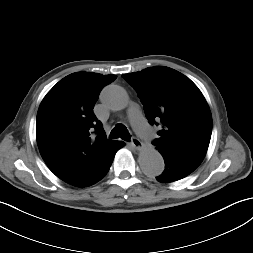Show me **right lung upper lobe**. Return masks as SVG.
<instances>
[{
    "label": "right lung upper lobe",
    "mask_w": 253,
    "mask_h": 253,
    "mask_svg": "<svg viewBox=\"0 0 253 253\" xmlns=\"http://www.w3.org/2000/svg\"><path fill=\"white\" fill-rule=\"evenodd\" d=\"M117 76L76 72L60 80L44 97L37 113L40 153L61 180L87 187L105 175L108 140L93 113L102 88ZM95 133V136L92 135Z\"/></svg>",
    "instance_id": "obj_1"
}]
</instances>
